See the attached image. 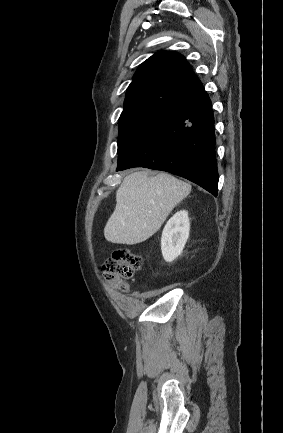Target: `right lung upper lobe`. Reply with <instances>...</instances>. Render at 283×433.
Returning a JSON list of instances; mask_svg holds the SVG:
<instances>
[{
	"mask_svg": "<svg viewBox=\"0 0 283 433\" xmlns=\"http://www.w3.org/2000/svg\"><path fill=\"white\" fill-rule=\"evenodd\" d=\"M204 91L186 59L175 52H158L142 63L129 85L124 109L163 113Z\"/></svg>",
	"mask_w": 283,
	"mask_h": 433,
	"instance_id": "obj_1",
	"label": "right lung upper lobe"
}]
</instances>
